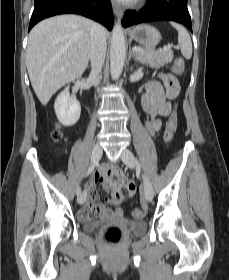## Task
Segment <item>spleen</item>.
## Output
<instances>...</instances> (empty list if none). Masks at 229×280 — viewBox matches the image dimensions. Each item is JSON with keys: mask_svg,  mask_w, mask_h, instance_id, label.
Segmentation results:
<instances>
[{"mask_svg": "<svg viewBox=\"0 0 229 280\" xmlns=\"http://www.w3.org/2000/svg\"><path fill=\"white\" fill-rule=\"evenodd\" d=\"M171 25L178 31V44L181 49L182 55L186 59H190L192 56V42L190 39V35L180 24L171 22Z\"/></svg>", "mask_w": 229, "mask_h": 280, "instance_id": "1", "label": "spleen"}]
</instances>
